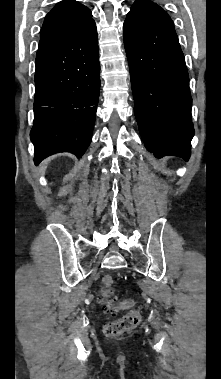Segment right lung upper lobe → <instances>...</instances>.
Here are the masks:
<instances>
[{"label":"right lung upper lobe","mask_w":221,"mask_h":379,"mask_svg":"<svg viewBox=\"0 0 221 379\" xmlns=\"http://www.w3.org/2000/svg\"><path fill=\"white\" fill-rule=\"evenodd\" d=\"M89 8L75 0L59 2L45 17L38 51L67 41L93 22Z\"/></svg>","instance_id":"cb5924a9"}]
</instances>
